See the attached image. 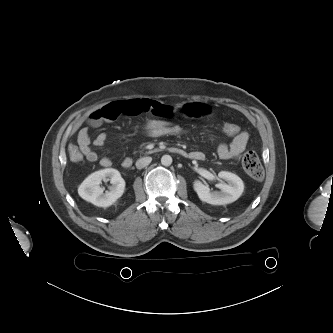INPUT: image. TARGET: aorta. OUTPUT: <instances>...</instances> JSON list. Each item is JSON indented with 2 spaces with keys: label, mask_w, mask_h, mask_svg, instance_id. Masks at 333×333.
Listing matches in <instances>:
<instances>
[{
  "label": "aorta",
  "mask_w": 333,
  "mask_h": 333,
  "mask_svg": "<svg viewBox=\"0 0 333 333\" xmlns=\"http://www.w3.org/2000/svg\"><path fill=\"white\" fill-rule=\"evenodd\" d=\"M161 163L163 166H170L172 164V157L170 155H163Z\"/></svg>",
  "instance_id": "aorta-1"
}]
</instances>
